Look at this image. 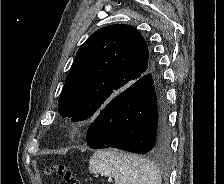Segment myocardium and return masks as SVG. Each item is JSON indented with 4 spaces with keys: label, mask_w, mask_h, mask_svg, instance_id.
<instances>
[{
    "label": "myocardium",
    "mask_w": 224,
    "mask_h": 184,
    "mask_svg": "<svg viewBox=\"0 0 224 184\" xmlns=\"http://www.w3.org/2000/svg\"><path fill=\"white\" fill-rule=\"evenodd\" d=\"M78 129V126L76 124H73L72 127H71V130L72 131H77Z\"/></svg>",
    "instance_id": "1"
}]
</instances>
